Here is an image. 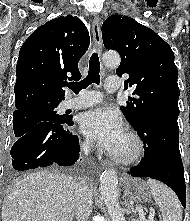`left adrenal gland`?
Instances as JSON below:
<instances>
[{"label":"left adrenal gland","mask_w":190,"mask_h":221,"mask_svg":"<svg viewBox=\"0 0 190 221\" xmlns=\"http://www.w3.org/2000/svg\"><path fill=\"white\" fill-rule=\"evenodd\" d=\"M124 205H125V207H127L129 210H132V211H133L132 206L128 204V202H127L126 199L124 200Z\"/></svg>","instance_id":"left-adrenal-gland-1"}]
</instances>
